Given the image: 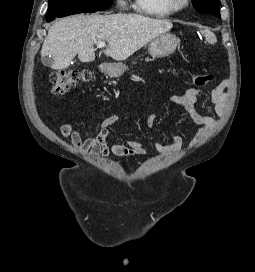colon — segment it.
Segmentation results:
<instances>
[{
  "label": "colon",
  "mask_w": 255,
  "mask_h": 272,
  "mask_svg": "<svg viewBox=\"0 0 255 272\" xmlns=\"http://www.w3.org/2000/svg\"><path fill=\"white\" fill-rule=\"evenodd\" d=\"M91 73L87 70L67 69L55 72L50 77L52 92L63 94L68 90L91 79ZM213 80V75L209 73L195 74L192 83L196 86H205Z\"/></svg>",
  "instance_id": "5ec220e1"
}]
</instances>
